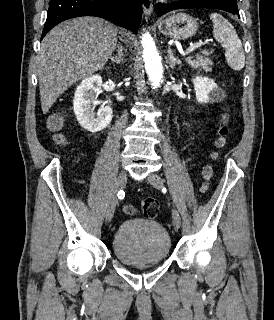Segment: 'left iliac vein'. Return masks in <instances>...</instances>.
Masks as SVG:
<instances>
[{"label": "left iliac vein", "instance_id": "1", "mask_svg": "<svg viewBox=\"0 0 274 320\" xmlns=\"http://www.w3.org/2000/svg\"><path fill=\"white\" fill-rule=\"evenodd\" d=\"M148 181L153 187L157 189L162 188L164 184L163 179L158 174H154V173L149 174ZM172 221L175 228L177 229L180 228L181 217H180L179 211L175 207L172 210Z\"/></svg>", "mask_w": 274, "mask_h": 320}]
</instances>
